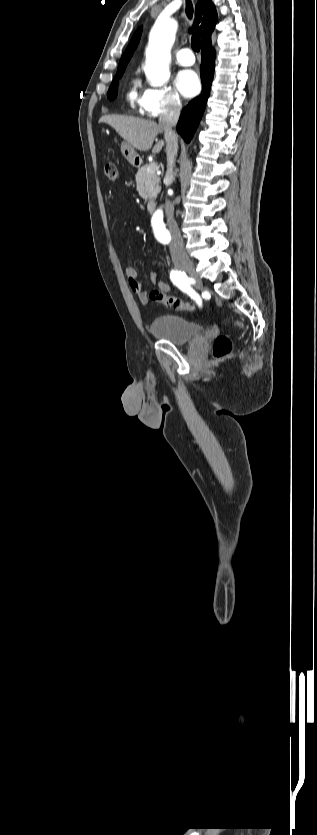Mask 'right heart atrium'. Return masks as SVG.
<instances>
[{
  "label": "right heart atrium",
  "instance_id": "obj_1",
  "mask_svg": "<svg viewBox=\"0 0 317 835\" xmlns=\"http://www.w3.org/2000/svg\"><path fill=\"white\" fill-rule=\"evenodd\" d=\"M140 111L149 118H158L180 111L182 101L170 86L146 88L139 101Z\"/></svg>",
  "mask_w": 317,
  "mask_h": 835
}]
</instances>
